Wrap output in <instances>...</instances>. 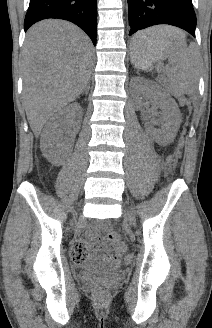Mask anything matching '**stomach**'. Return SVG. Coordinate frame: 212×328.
<instances>
[{"label":"stomach","instance_id":"stomach-1","mask_svg":"<svg viewBox=\"0 0 212 328\" xmlns=\"http://www.w3.org/2000/svg\"><path fill=\"white\" fill-rule=\"evenodd\" d=\"M131 57L137 68L148 70L152 68L154 62L166 57V50L145 49L137 51L132 46Z\"/></svg>","mask_w":212,"mask_h":328}]
</instances>
